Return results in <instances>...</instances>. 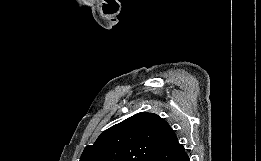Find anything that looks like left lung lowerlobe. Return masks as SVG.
I'll return each mask as SVG.
<instances>
[{"instance_id": "0a47b994", "label": "left lung lower lobe", "mask_w": 261, "mask_h": 161, "mask_svg": "<svg viewBox=\"0 0 261 161\" xmlns=\"http://www.w3.org/2000/svg\"><path fill=\"white\" fill-rule=\"evenodd\" d=\"M150 161H190L183 145L179 144L177 137L168 146L159 149Z\"/></svg>"}]
</instances>
